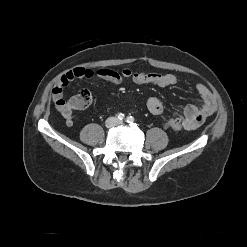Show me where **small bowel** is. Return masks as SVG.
<instances>
[{"label": "small bowel", "mask_w": 247, "mask_h": 247, "mask_svg": "<svg viewBox=\"0 0 247 247\" xmlns=\"http://www.w3.org/2000/svg\"><path fill=\"white\" fill-rule=\"evenodd\" d=\"M98 77L102 80L110 82L114 85H120L125 80H130L137 85L151 84L160 87L174 85L177 81L172 74H160L155 72H134L131 69H123L121 72L107 68L92 70L89 68H74L55 83L52 90V99L57 110L62 115L67 125H72L74 121L73 107L70 101H65L63 98L64 89L68 84L76 79H89ZM196 90L200 95L198 105H187L181 114H176L181 121L183 127L187 130H192L199 127L207 117L211 116L217 109L216 100L213 93L202 83L196 85ZM147 108L153 115L163 113V104L157 97H150L147 100Z\"/></svg>", "instance_id": "c3829d8e"}]
</instances>
